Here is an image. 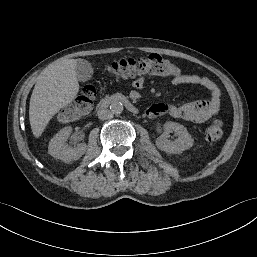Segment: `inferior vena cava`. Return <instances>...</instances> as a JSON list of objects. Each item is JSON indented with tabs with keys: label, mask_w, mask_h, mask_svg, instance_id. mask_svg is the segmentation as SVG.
Instances as JSON below:
<instances>
[{
	"label": "inferior vena cava",
	"mask_w": 257,
	"mask_h": 257,
	"mask_svg": "<svg viewBox=\"0 0 257 257\" xmlns=\"http://www.w3.org/2000/svg\"><path fill=\"white\" fill-rule=\"evenodd\" d=\"M97 114H98V118H99L100 120H107L108 118L111 117V112H110V110L104 109V108L99 109L98 112H97Z\"/></svg>",
	"instance_id": "1"
}]
</instances>
